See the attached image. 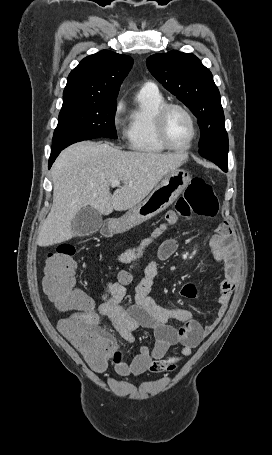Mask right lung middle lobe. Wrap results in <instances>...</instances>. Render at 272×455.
<instances>
[{"label": "right lung middle lobe", "instance_id": "obj_1", "mask_svg": "<svg viewBox=\"0 0 272 455\" xmlns=\"http://www.w3.org/2000/svg\"><path fill=\"white\" fill-rule=\"evenodd\" d=\"M116 105V101L63 104L53 135L52 151L93 138L116 139L114 124Z\"/></svg>", "mask_w": 272, "mask_h": 455}]
</instances>
